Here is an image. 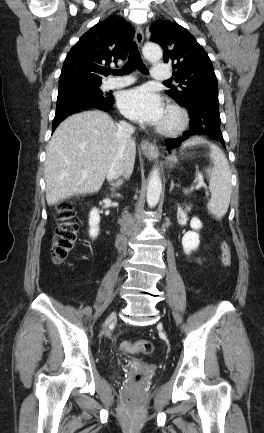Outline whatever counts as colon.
I'll use <instances>...</instances> for the list:
<instances>
[{
    "instance_id": "5ec220e1",
    "label": "colon",
    "mask_w": 264,
    "mask_h": 433,
    "mask_svg": "<svg viewBox=\"0 0 264 433\" xmlns=\"http://www.w3.org/2000/svg\"><path fill=\"white\" fill-rule=\"evenodd\" d=\"M55 217L58 227L53 237L51 255L55 263H62L71 253L78 239L79 222L75 213L74 201L67 199L60 201L55 207ZM221 260L223 265L230 266L232 254L226 241L221 243ZM125 353H151L153 344L149 340L136 342L124 341L120 346Z\"/></svg>"
}]
</instances>
